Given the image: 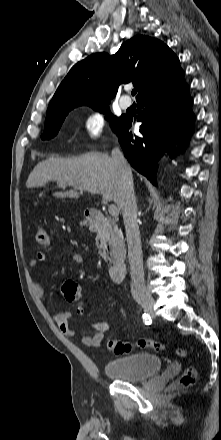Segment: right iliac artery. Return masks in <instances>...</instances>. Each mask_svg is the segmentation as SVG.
I'll list each match as a JSON object with an SVG mask.
<instances>
[{
  "instance_id": "1",
  "label": "right iliac artery",
  "mask_w": 221,
  "mask_h": 440,
  "mask_svg": "<svg viewBox=\"0 0 221 440\" xmlns=\"http://www.w3.org/2000/svg\"><path fill=\"white\" fill-rule=\"evenodd\" d=\"M142 318H143V321L145 322V324H149L151 322L150 316L146 313L143 314Z\"/></svg>"
}]
</instances>
